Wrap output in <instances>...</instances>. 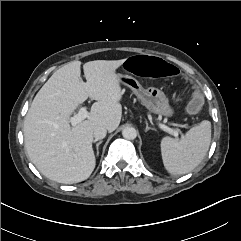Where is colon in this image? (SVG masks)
<instances>
[{"mask_svg":"<svg viewBox=\"0 0 241 241\" xmlns=\"http://www.w3.org/2000/svg\"><path fill=\"white\" fill-rule=\"evenodd\" d=\"M124 68L129 73H138L141 77H158L161 79H177L180 76V67L171 60L163 57L140 52L137 56H129L124 61ZM203 98L195 94L190 101L189 111L197 113L201 110Z\"/></svg>","mask_w":241,"mask_h":241,"instance_id":"obj_1","label":"colon"}]
</instances>
